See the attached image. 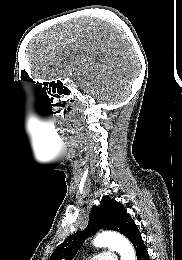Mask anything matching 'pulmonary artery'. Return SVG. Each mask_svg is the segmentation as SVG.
<instances>
[{
	"label": "pulmonary artery",
	"mask_w": 182,
	"mask_h": 260,
	"mask_svg": "<svg viewBox=\"0 0 182 260\" xmlns=\"http://www.w3.org/2000/svg\"><path fill=\"white\" fill-rule=\"evenodd\" d=\"M91 260H117V257L112 252H103L94 256Z\"/></svg>",
	"instance_id": "1"
}]
</instances>
